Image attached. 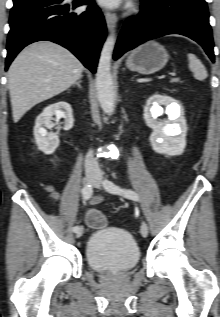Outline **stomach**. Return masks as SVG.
Segmentation results:
<instances>
[{"mask_svg":"<svg viewBox=\"0 0 220 317\" xmlns=\"http://www.w3.org/2000/svg\"><path fill=\"white\" fill-rule=\"evenodd\" d=\"M165 48L156 41H148L134 49L127 58L126 66L143 75L153 74L168 62Z\"/></svg>","mask_w":220,"mask_h":317,"instance_id":"stomach-1","label":"stomach"}]
</instances>
